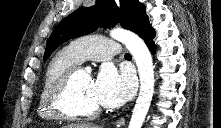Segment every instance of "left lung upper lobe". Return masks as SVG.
I'll return each mask as SVG.
<instances>
[{"label": "left lung upper lobe", "instance_id": "obj_1", "mask_svg": "<svg viewBox=\"0 0 221 128\" xmlns=\"http://www.w3.org/2000/svg\"><path fill=\"white\" fill-rule=\"evenodd\" d=\"M120 11L114 0H97L92 7H80L64 18L48 39L44 60L62 43L87 35L97 28H108L119 21L125 29L145 37L152 29L145 6L138 0H120Z\"/></svg>", "mask_w": 221, "mask_h": 128}]
</instances>
